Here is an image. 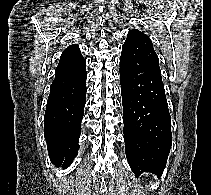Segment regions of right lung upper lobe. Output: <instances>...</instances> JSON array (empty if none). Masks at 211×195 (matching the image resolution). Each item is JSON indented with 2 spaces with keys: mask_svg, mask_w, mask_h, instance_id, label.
<instances>
[{
  "mask_svg": "<svg viewBox=\"0 0 211 195\" xmlns=\"http://www.w3.org/2000/svg\"><path fill=\"white\" fill-rule=\"evenodd\" d=\"M86 64L77 45H70L66 48L60 58L55 70V75L65 74L74 71Z\"/></svg>",
  "mask_w": 211,
  "mask_h": 195,
  "instance_id": "obj_1",
  "label": "right lung upper lobe"
}]
</instances>
